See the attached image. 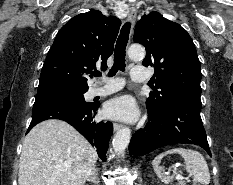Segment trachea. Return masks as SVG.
<instances>
[{
	"instance_id": "trachea-1",
	"label": "trachea",
	"mask_w": 233,
	"mask_h": 185,
	"mask_svg": "<svg viewBox=\"0 0 233 185\" xmlns=\"http://www.w3.org/2000/svg\"><path fill=\"white\" fill-rule=\"evenodd\" d=\"M130 26L131 24L129 22L125 23L120 31L114 50V64L108 74L109 76H114L119 70L125 71V53L129 39ZM94 76H100V73L95 72Z\"/></svg>"
}]
</instances>
